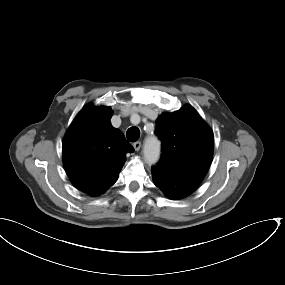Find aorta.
Returning <instances> with one entry per match:
<instances>
[{
	"instance_id": "1",
	"label": "aorta",
	"mask_w": 285,
	"mask_h": 285,
	"mask_svg": "<svg viewBox=\"0 0 285 285\" xmlns=\"http://www.w3.org/2000/svg\"><path fill=\"white\" fill-rule=\"evenodd\" d=\"M143 154L148 164H154L159 159L160 144L154 138H149L145 141Z\"/></svg>"
}]
</instances>
